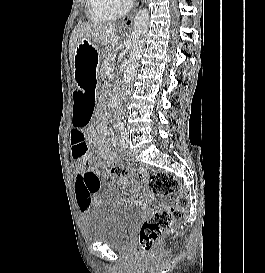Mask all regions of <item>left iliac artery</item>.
<instances>
[{"instance_id":"1","label":"left iliac artery","mask_w":265,"mask_h":273,"mask_svg":"<svg viewBox=\"0 0 265 273\" xmlns=\"http://www.w3.org/2000/svg\"><path fill=\"white\" fill-rule=\"evenodd\" d=\"M117 128L120 130V131H123L124 130V123L123 122H117Z\"/></svg>"}]
</instances>
